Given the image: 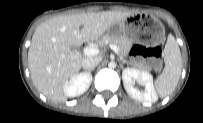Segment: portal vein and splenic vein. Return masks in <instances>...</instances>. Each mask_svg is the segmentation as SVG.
I'll list each match as a JSON object with an SVG mask.
<instances>
[{
    "instance_id": "1",
    "label": "portal vein and splenic vein",
    "mask_w": 203,
    "mask_h": 123,
    "mask_svg": "<svg viewBox=\"0 0 203 123\" xmlns=\"http://www.w3.org/2000/svg\"><path fill=\"white\" fill-rule=\"evenodd\" d=\"M110 49H112L115 53H118L119 49L116 45L114 44H109L108 45ZM99 53V49L96 47H86L84 48V54L86 56H95Z\"/></svg>"
}]
</instances>
